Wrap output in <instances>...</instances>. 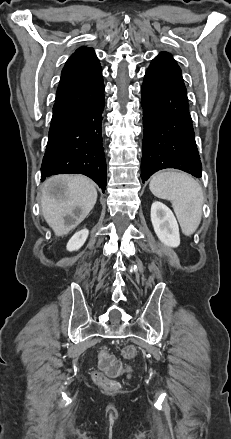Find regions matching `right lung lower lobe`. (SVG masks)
<instances>
[{"label": "right lung lower lobe", "instance_id": "1", "mask_svg": "<svg viewBox=\"0 0 231 439\" xmlns=\"http://www.w3.org/2000/svg\"><path fill=\"white\" fill-rule=\"evenodd\" d=\"M102 72L87 84L57 96L49 139L41 166V180L60 174H84L104 192L107 182L102 144L104 110Z\"/></svg>", "mask_w": 231, "mask_h": 439}]
</instances>
